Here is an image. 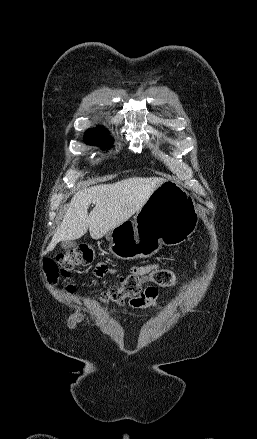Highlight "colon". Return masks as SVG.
<instances>
[{
    "label": "colon",
    "instance_id": "5ec220e1",
    "mask_svg": "<svg viewBox=\"0 0 257 439\" xmlns=\"http://www.w3.org/2000/svg\"><path fill=\"white\" fill-rule=\"evenodd\" d=\"M95 259V250L91 246H81L64 253L57 254L54 258L44 261V270L50 282H56L62 278L65 282V290L69 294L75 292V287L69 282L71 271L78 266L91 264ZM153 282L159 286H173L177 284L174 272L168 269H157L145 277L127 275L120 282L103 292L100 299L104 303L121 305L127 298L140 296L143 293L142 283Z\"/></svg>",
    "mask_w": 257,
    "mask_h": 439
}]
</instances>
